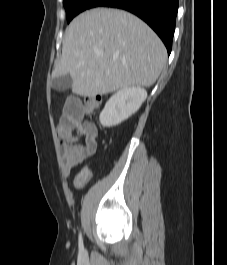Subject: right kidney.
<instances>
[{
	"instance_id": "ca27d5eb",
	"label": "right kidney",
	"mask_w": 227,
	"mask_h": 265,
	"mask_svg": "<svg viewBox=\"0 0 227 265\" xmlns=\"http://www.w3.org/2000/svg\"><path fill=\"white\" fill-rule=\"evenodd\" d=\"M147 98V92L141 87H128L117 91L105 104L100 114V123L112 127L128 119L138 111Z\"/></svg>"
}]
</instances>
